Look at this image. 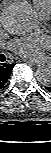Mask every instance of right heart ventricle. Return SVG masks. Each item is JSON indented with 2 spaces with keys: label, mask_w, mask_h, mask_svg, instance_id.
Listing matches in <instances>:
<instances>
[{
  "label": "right heart ventricle",
  "mask_w": 51,
  "mask_h": 153,
  "mask_svg": "<svg viewBox=\"0 0 51 153\" xmlns=\"http://www.w3.org/2000/svg\"><path fill=\"white\" fill-rule=\"evenodd\" d=\"M40 17L46 18L51 13V0H33Z\"/></svg>",
  "instance_id": "1"
}]
</instances>
